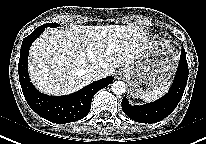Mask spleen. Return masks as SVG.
Listing matches in <instances>:
<instances>
[{
  "mask_svg": "<svg viewBox=\"0 0 206 144\" xmlns=\"http://www.w3.org/2000/svg\"><path fill=\"white\" fill-rule=\"evenodd\" d=\"M169 86H170V83L166 82L163 85H161L160 87H158L157 89H154L152 91H149V92L143 94L141 99L144 102H148V103L153 102V101L159 99L161 96H163L168 91Z\"/></svg>",
  "mask_w": 206,
  "mask_h": 144,
  "instance_id": "3e777b00",
  "label": "spleen"
}]
</instances>
